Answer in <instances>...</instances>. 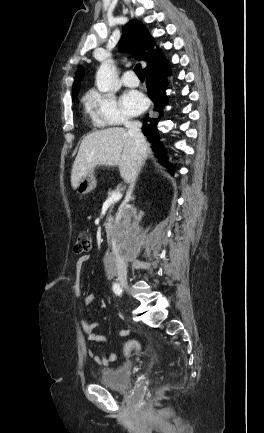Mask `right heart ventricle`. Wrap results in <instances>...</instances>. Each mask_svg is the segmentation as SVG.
Instances as JSON below:
<instances>
[{"label":"right heart ventricle","instance_id":"1","mask_svg":"<svg viewBox=\"0 0 264 433\" xmlns=\"http://www.w3.org/2000/svg\"><path fill=\"white\" fill-rule=\"evenodd\" d=\"M95 123H96V125H97V126H99V125H100V124H99V123H97V122H95Z\"/></svg>","mask_w":264,"mask_h":433}]
</instances>
